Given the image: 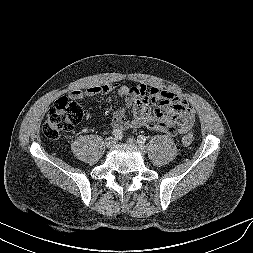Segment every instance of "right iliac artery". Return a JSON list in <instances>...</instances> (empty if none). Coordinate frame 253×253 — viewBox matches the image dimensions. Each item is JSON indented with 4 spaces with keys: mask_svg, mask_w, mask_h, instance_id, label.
I'll return each instance as SVG.
<instances>
[{
    "mask_svg": "<svg viewBox=\"0 0 253 253\" xmlns=\"http://www.w3.org/2000/svg\"><path fill=\"white\" fill-rule=\"evenodd\" d=\"M112 135L115 136L118 139L122 138V136H123L122 131L118 130V129H114L112 131Z\"/></svg>",
    "mask_w": 253,
    "mask_h": 253,
    "instance_id": "obj_1",
    "label": "right iliac artery"
}]
</instances>
